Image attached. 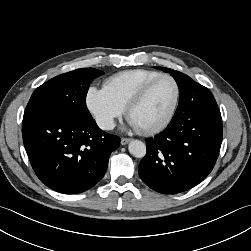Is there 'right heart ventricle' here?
Listing matches in <instances>:
<instances>
[{
    "instance_id": "1",
    "label": "right heart ventricle",
    "mask_w": 251,
    "mask_h": 251,
    "mask_svg": "<svg viewBox=\"0 0 251 251\" xmlns=\"http://www.w3.org/2000/svg\"><path fill=\"white\" fill-rule=\"evenodd\" d=\"M161 73L148 69H132L118 72L104 81L103 88L123 108L135 93L149 80Z\"/></svg>"
}]
</instances>
